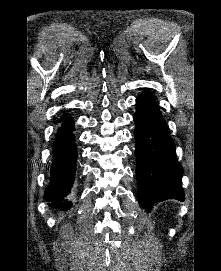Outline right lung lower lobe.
Returning <instances> with one entry per match:
<instances>
[{"label":"right lung lower lobe","mask_w":221,"mask_h":271,"mask_svg":"<svg viewBox=\"0 0 221 271\" xmlns=\"http://www.w3.org/2000/svg\"><path fill=\"white\" fill-rule=\"evenodd\" d=\"M60 122L61 126L53 143L50 182L45 190L44 198L46 201H51L49 205L65 211L71 207V201L64 198L70 193L74 182L77 147L72 133L73 118L64 115Z\"/></svg>","instance_id":"obj_1"}]
</instances>
